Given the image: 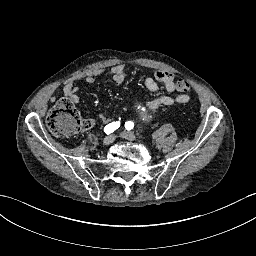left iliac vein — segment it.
<instances>
[{
  "label": "left iliac vein",
  "instance_id": "obj_1",
  "mask_svg": "<svg viewBox=\"0 0 256 256\" xmlns=\"http://www.w3.org/2000/svg\"><path fill=\"white\" fill-rule=\"evenodd\" d=\"M121 137H123L124 139H129V140H135L136 137L134 136L133 133L128 132V131H123L121 134Z\"/></svg>",
  "mask_w": 256,
  "mask_h": 256
}]
</instances>
